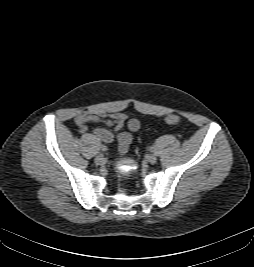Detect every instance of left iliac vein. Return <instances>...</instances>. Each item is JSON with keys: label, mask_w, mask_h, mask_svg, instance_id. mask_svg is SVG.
<instances>
[{"label": "left iliac vein", "mask_w": 254, "mask_h": 267, "mask_svg": "<svg viewBox=\"0 0 254 267\" xmlns=\"http://www.w3.org/2000/svg\"><path fill=\"white\" fill-rule=\"evenodd\" d=\"M146 161L150 164H155L157 162V157L154 154H150L146 157Z\"/></svg>", "instance_id": "obj_1"}]
</instances>
